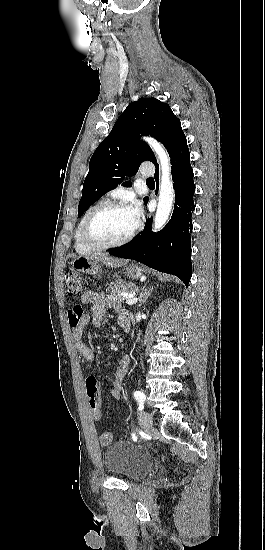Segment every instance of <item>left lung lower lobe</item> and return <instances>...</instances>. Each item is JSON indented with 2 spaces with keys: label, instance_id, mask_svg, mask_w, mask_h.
<instances>
[{
  "label": "left lung lower lobe",
  "instance_id": "left-lung-lower-lobe-1",
  "mask_svg": "<svg viewBox=\"0 0 265 550\" xmlns=\"http://www.w3.org/2000/svg\"><path fill=\"white\" fill-rule=\"evenodd\" d=\"M175 189V207L170 221L159 232H151L152 217L132 242L110 250V255L134 259L145 265L179 277L187 286L192 276L191 216L194 211L195 185L187 141L171 156ZM155 180L159 184V169ZM158 188V186H157Z\"/></svg>",
  "mask_w": 265,
  "mask_h": 550
}]
</instances>
